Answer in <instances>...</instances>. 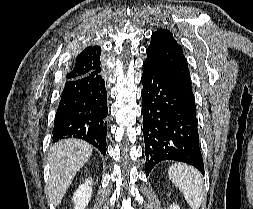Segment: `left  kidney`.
Returning <instances> with one entry per match:
<instances>
[{"mask_svg": "<svg viewBox=\"0 0 253 209\" xmlns=\"http://www.w3.org/2000/svg\"><path fill=\"white\" fill-rule=\"evenodd\" d=\"M169 209H180V207L176 204H173V205L170 206Z\"/></svg>", "mask_w": 253, "mask_h": 209, "instance_id": "5707ae66", "label": "left kidney"}]
</instances>
